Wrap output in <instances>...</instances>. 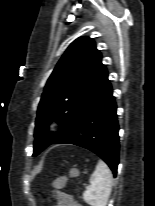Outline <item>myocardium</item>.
I'll return each instance as SVG.
<instances>
[{
    "instance_id": "obj_1",
    "label": "myocardium",
    "mask_w": 155,
    "mask_h": 206,
    "mask_svg": "<svg viewBox=\"0 0 155 206\" xmlns=\"http://www.w3.org/2000/svg\"><path fill=\"white\" fill-rule=\"evenodd\" d=\"M60 124V120L57 118H53L51 119V121L48 123L47 128L48 130H53L56 127H58V125Z\"/></svg>"
}]
</instances>
